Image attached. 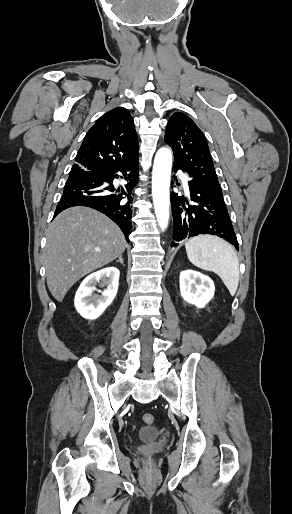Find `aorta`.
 <instances>
[{"instance_id":"762f6f07","label":"aorta","mask_w":292,"mask_h":514,"mask_svg":"<svg viewBox=\"0 0 292 514\" xmlns=\"http://www.w3.org/2000/svg\"><path fill=\"white\" fill-rule=\"evenodd\" d=\"M171 168V150H168V148H160L154 160L152 196L157 222L162 230L167 228L169 220Z\"/></svg>"}]
</instances>
